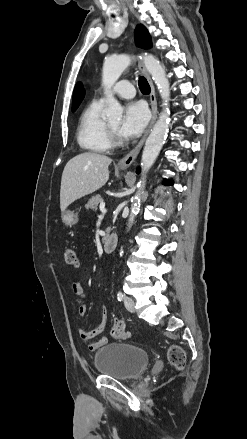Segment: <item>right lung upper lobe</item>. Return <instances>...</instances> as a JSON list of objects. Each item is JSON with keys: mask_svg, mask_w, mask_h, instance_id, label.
I'll return each instance as SVG.
<instances>
[{"mask_svg": "<svg viewBox=\"0 0 247 439\" xmlns=\"http://www.w3.org/2000/svg\"><path fill=\"white\" fill-rule=\"evenodd\" d=\"M84 97V89L81 83H77L73 93L72 109H77Z\"/></svg>", "mask_w": 247, "mask_h": 439, "instance_id": "1", "label": "right lung upper lobe"}]
</instances>
